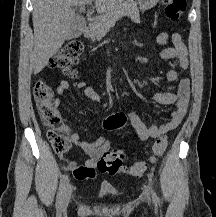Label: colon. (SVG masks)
<instances>
[{
    "label": "colon",
    "instance_id": "1",
    "mask_svg": "<svg viewBox=\"0 0 216 217\" xmlns=\"http://www.w3.org/2000/svg\"><path fill=\"white\" fill-rule=\"evenodd\" d=\"M165 5V14L171 20H178L186 8V0H162ZM83 51V46L78 41L67 43L52 59L51 67L67 74H73V67ZM33 97L37 105L39 117L43 125L48 129L47 137L55 153L65 155L70 148V141L65 133L62 118L54 107V94L50 86L44 81H37L33 87ZM127 117L123 112L111 114L104 121V127L115 130L125 126ZM168 140L165 136L156 139L152 146L151 162L158 160L166 151ZM124 156L116 148L107 149L97 163V169L101 173L115 174L123 172L126 175L139 177L145 174L148 165L145 162H136L131 165H123ZM74 174L79 171L73 168Z\"/></svg>",
    "mask_w": 216,
    "mask_h": 217
}]
</instances>
